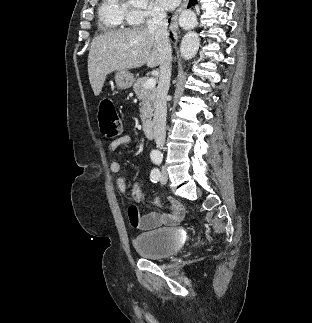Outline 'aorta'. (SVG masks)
I'll list each match as a JSON object with an SVG mask.
<instances>
[{
	"instance_id": "aorta-1",
	"label": "aorta",
	"mask_w": 312,
	"mask_h": 323,
	"mask_svg": "<svg viewBox=\"0 0 312 323\" xmlns=\"http://www.w3.org/2000/svg\"><path fill=\"white\" fill-rule=\"evenodd\" d=\"M200 46V38L195 32H187L185 34L181 46L180 52L184 60H192L196 56Z\"/></svg>"
}]
</instances>
